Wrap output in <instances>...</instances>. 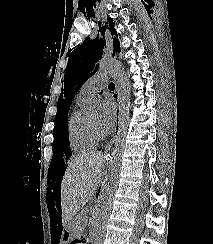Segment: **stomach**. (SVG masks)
Wrapping results in <instances>:
<instances>
[{"instance_id":"obj_1","label":"stomach","mask_w":213,"mask_h":244,"mask_svg":"<svg viewBox=\"0 0 213 244\" xmlns=\"http://www.w3.org/2000/svg\"><path fill=\"white\" fill-rule=\"evenodd\" d=\"M64 239H60V244H71V239H77L78 229H76V221H65L63 223Z\"/></svg>"}]
</instances>
